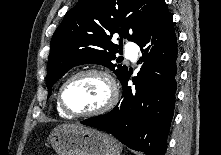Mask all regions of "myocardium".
<instances>
[{
	"instance_id": "f54148a6",
	"label": "myocardium",
	"mask_w": 221,
	"mask_h": 155,
	"mask_svg": "<svg viewBox=\"0 0 221 155\" xmlns=\"http://www.w3.org/2000/svg\"><path fill=\"white\" fill-rule=\"evenodd\" d=\"M84 75H97L103 78L108 87V97H107L106 102L101 107L95 110L89 111V112L78 113V112L71 111L66 106L65 101H64V91L70 82ZM117 100H118V88H117L114 78L106 70L101 69V68H95V67L81 69L73 73L71 76H69L61 85L59 92H58V98H57L60 108L68 116L77 117V118H88V117H96V116L103 115L109 112L116 105Z\"/></svg>"
}]
</instances>
